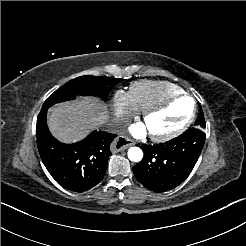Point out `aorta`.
Masks as SVG:
<instances>
[{"mask_svg":"<svg viewBox=\"0 0 246 246\" xmlns=\"http://www.w3.org/2000/svg\"><path fill=\"white\" fill-rule=\"evenodd\" d=\"M128 158L133 162H140L143 158V152L139 147H131L128 150Z\"/></svg>","mask_w":246,"mask_h":246,"instance_id":"aorta-1","label":"aorta"}]
</instances>
